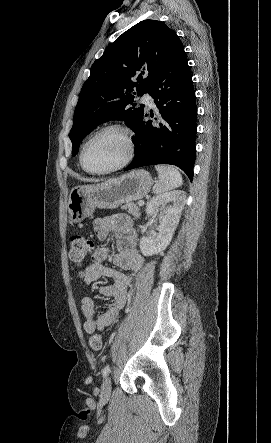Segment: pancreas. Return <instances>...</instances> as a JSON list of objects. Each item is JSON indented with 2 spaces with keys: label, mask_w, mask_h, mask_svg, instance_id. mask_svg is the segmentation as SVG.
<instances>
[{
  "label": "pancreas",
  "mask_w": 271,
  "mask_h": 443,
  "mask_svg": "<svg viewBox=\"0 0 271 443\" xmlns=\"http://www.w3.org/2000/svg\"><path fill=\"white\" fill-rule=\"evenodd\" d=\"M121 210H127L134 218H140V206H137L134 202H127L125 206H121Z\"/></svg>",
  "instance_id": "pancreas-1"
}]
</instances>
